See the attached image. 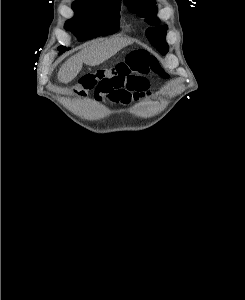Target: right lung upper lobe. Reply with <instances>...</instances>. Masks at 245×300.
I'll return each mask as SVG.
<instances>
[{
	"instance_id": "right-lung-upper-lobe-1",
	"label": "right lung upper lobe",
	"mask_w": 245,
	"mask_h": 300,
	"mask_svg": "<svg viewBox=\"0 0 245 300\" xmlns=\"http://www.w3.org/2000/svg\"><path fill=\"white\" fill-rule=\"evenodd\" d=\"M77 1H93V0H77ZM110 1H121V0H110Z\"/></svg>"
}]
</instances>
